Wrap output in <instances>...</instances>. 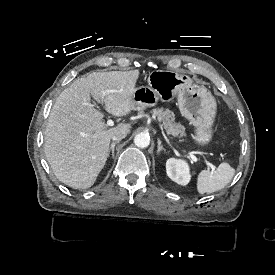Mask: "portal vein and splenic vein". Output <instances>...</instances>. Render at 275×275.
Wrapping results in <instances>:
<instances>
[{
	"label": "portal vein and splenic vein",
	"mask_w": 275,
	"mask_h": 275,
	"mask_svg": "<svg viewBox=\"0 0 275 275\" xmlns=\"http://www.w3.org/2000/svg\"><path fill=\"white\" fill-rule=\"evenodd\" d=\"M108 93H109V90H103L100 101H104V99H105V97L107 96ZM85 104L89 107H94V108H97V109H101V106L97 105V104H93V103H89V102H87ZM107 125H109V126L114 125L113 120L112 119H107ZM188 156H190L191 159L194 160L195 163L197 161H199V158H195V156H193V154H191V153H188ZM208 166H210L212 171H215V166L212 163H208Z\"/></svg>",
	"instance_id": "obj_1"
}]
</instances>
